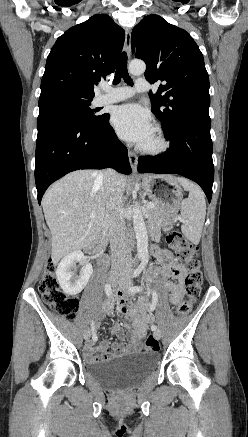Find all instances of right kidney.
I'll return each instance as SVG.
<instances>
[{
	"label": "right kidney",
	"mask_w": 248,
	"mask_h": 437,
	"mask_svg": "<svg viewBox=\"0 0 248 437\" xmlns=\"http://www.w3.org/2000/svg\"><path fill=\"white\" fill-rule=\"evenodd\" d=\"M84 260V254L81 251H75L66 255L59 263L56 276L60 287L68 295L79 294L87 285L93 268L90 263L82 267L79 275H76V262Z\"/></svg>",
	"instance_id": "obj_1"
}]
</instances>
